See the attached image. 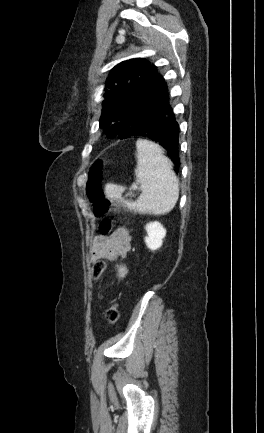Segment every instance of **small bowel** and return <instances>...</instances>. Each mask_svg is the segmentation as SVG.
Segmentation results:
<instances>
[{"mask_svg": "<svg viewBox=\"0 0 264 433\" xmlns=\"http://www.w3.org/2000/svg\"><path fill=\"white\" fill-rule=\"evenodd\" d=\"M131 238L127 230L117 229L110 235H99L95 238L91 250V260L93 262L100 259L115 261L125 258L131 247Z\"/></svg>", "mask_w": 264, "mask_h": 433, "instance_id": "small-bowel-1", "label": "small bowel"}]
</instances>
